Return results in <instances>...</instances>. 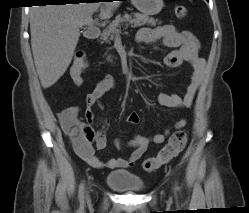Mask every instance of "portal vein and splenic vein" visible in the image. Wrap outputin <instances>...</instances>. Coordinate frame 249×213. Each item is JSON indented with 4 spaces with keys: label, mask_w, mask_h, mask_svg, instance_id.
<instances>
[{
    "label": "portal vein and splenic vein",
    "mask_w": 249,
    "mask_h": 213,
    "mask_svg": "<svg viewBox=\"0 0 249 213\" xmlns=\"http://www.w3.org/2000/svg\"><path fill=\"white\" fill-rule=\"evenodd\" d=\"M95 24H96V21H94L91 16L86 17L84 20V25L93 26Z\"/></svg>",
    "instance_id": "18ae733b"
}]
</instances>
